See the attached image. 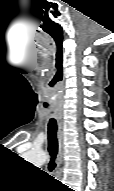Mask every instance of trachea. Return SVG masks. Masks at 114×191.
Listing matches in <instances>:
<instances>
[{
  "label": "trachea",
  "mask_w": 114,
  "mask_h": 191,
  "mask_svg": "<svg viewBox=\"0 0 114 191\" xmlns=\"http://www.w3.org/2000/svg\"><path fill=\"white\" fill-rule=\"evenodd\" d=\"M48 151L51 157L48 169L52 172L56 167L55 159L58 152L57 122L55 118H51L48 123Z\"/></svg>",
  "instance_id": "obj_1"
}]
</instances>
